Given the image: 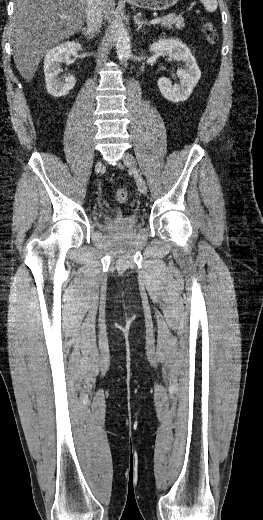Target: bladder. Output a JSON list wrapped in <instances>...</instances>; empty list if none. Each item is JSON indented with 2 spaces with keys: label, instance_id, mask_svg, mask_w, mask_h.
<instances>
[{
  "label": "bladder",
  "instance_id": "bladder-1",
  "mask_svg": "<svg viewBox=\"0 0 263 520\" xmlns=\"http://www.w3.org/2000/svg\"><path fill=\"white\" fill-rule=\"evenodd\" d=\"M138 222L139 216L136 214L123 215L107 219L108 226L116 230L132 229L138 225Z\"/></svg>",
  "mask_w": 263,
  "mask_h": 520
}]
</instances>
